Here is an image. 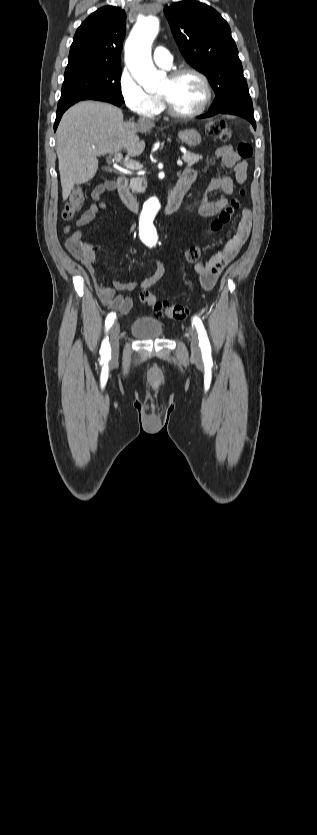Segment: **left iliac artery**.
Wrapping results in <instances>:
<instances>
[{
	"instance_id": "left-iliac-artery-1",
	"label": "left iliac artery",
	"mask_w": 317,
	"mask_h": 835,
	"mask_svg": "<svg viewBox=\"0 0 317 835\" xmlns=\"http://www.w3.org/2000/svg\"><path fill=\"white\" fill-rule=\"evenodd\" d=\"M193 323H194V325L197 329V332H198V338L200 340L199 345H200V348H201V351H202L203 360L207 361V362H210L212 360L211 346H210V342H209L206 330L204 328V325H203L201 319L198 316H194Z\"/></svg>"
}]
</instances>
